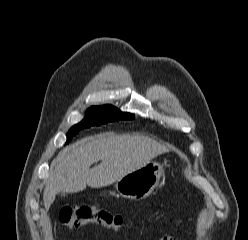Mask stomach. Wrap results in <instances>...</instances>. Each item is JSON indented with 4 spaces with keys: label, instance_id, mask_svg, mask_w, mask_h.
<instances>
[{
    "label": "stomach",
    "instance_id": "0dacf381",
    "mask_svg": "<svg viewBox=\"0 0 248 240\" xmlns=\"http://www.w3.org/2000/svg\"><path fill=\"white\" fill-rule=\"evenodd\" d=\"M163 171V165L160 163L149 162L116 181V191L124 198L144 199L154 191Z\"/></svg>",
    "mask_w": 248,
    "mask_h": 240
}]
</instances>
